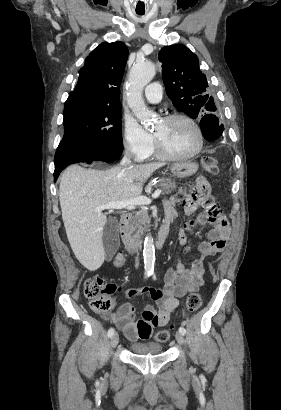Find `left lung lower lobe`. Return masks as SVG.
Listing matches in <instances>:
<instances>
[{"label":"left lung lower lobe","instance_id":"1","mask_svg":"<svg viewBox=\"0 0 281 410\" xmlns=\"http://www.w3.org/2000/svg\"><path fill=\"white\" fill-rule=\"evenodd\" d=\"M200 127L204 138L207 141L218 139L224 130L223 125L219 123L218 118L215 115L203 116L200 121Z\"/></svg>","mask_w":281,"mask_h":410}]
</instances>
